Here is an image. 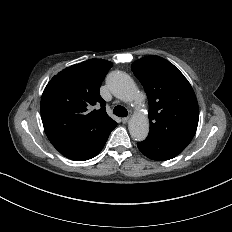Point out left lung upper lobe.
Returning a JSON list of instances; mask_svg holds the SVG:
<instances>
[{
	"label": "left lung upper lobe",
	"instance_id": "1",
	"mask_svg": "<svg viewBox=\"0 0 232 232\" xmlns=\"http://www.w3.org/2000/svg\"><path fill=\"white\" fill-rule=\"evenodd\" d=\"M131 69L147 94L149 135L185 149L199 120V107L190 83L173 64L155 55L135 61Z\"/></svg>",
	"mask_w": 232,
	"mask_h": 232
}]
</instances>
